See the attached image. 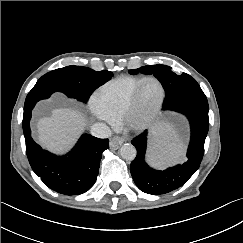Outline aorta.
Masks as SVG:
<instances>
[{
	"mask_svg": "<svg viewBox=\"0 0 243 243\" xmlns=\"http://www.w3.org/2000/svg\"><path fill=\"white\" fill-rule=\"evenodd\" d=\"M120 156L127 161H132L136 157V148L132 144H124L120 150Z\"/></svg>",
	"mask_w": 243,
	"mask_h": 243,
	"instance_id": "1",
	"label": "aorta"
}]
</instances>
